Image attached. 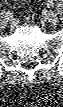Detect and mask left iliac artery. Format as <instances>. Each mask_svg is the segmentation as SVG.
<instances>
[{
  "label": "left iliac artery",
  "instance_id": "1",
  "mask_svg": "<svg viewBox=\"0 0 63 107\" xmlns=\"http://www.w3.org/2000/svg\"><path fill=\"white\" fill-rule=\"evenodd\" d=\"M53 5H54L53 1H51V0H48V1H47V6H48V8L53 7Z\"/></svg>",
  "mask_w": 63,
  "mask_h": 107
}]
</instances>
